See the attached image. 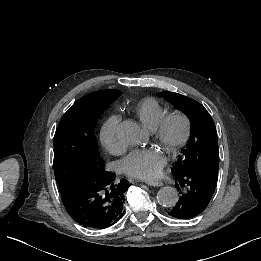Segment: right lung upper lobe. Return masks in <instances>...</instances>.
<instances>
[{
  "instance_id": "1",
  "label": "right lung upper lobe",
  "mask_w": 261,
  "mask_h": 261,
  "mask_svg": "<svg viewBox=\"0 0 261 261\" xmlns=\"http://www.w3.org/2000/svg\"><path fill=\"white\" fill-rule=\"evenodd\" d=\"M117 91H119V90L108 89V90H103V91H96V92L90 93L88 95H90V96H103V95H107V94H110V93H116Z\"/></svg>"
}]
</instances>
